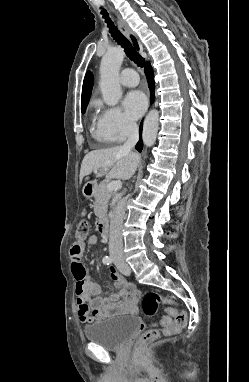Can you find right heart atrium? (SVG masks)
Segmentation results:
<instances>
[{
	"instance_id": "obj_1",
	"label": "right heart atrium",
	"mask_w": 249,
	"mask_h": 382,
	"mask_svg": "<svg viewBox=\"0 0 249 382\" xmlns=\"http://www.w3.org/2000/svg\"><path fill=\"white\" fill-rule=\"evenodd\" d=\"M98 124L104 135L113 142H119L135 133L137 124L120 108L101 107Z\"/></svg>"
}]
</instances>
